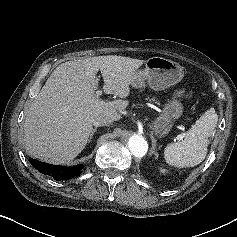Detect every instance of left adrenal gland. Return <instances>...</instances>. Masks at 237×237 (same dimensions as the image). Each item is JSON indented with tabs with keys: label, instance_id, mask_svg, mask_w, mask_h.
Returning <instances> with one entry per match:
<instances>
[{
	"label": "left adrenal gland",
	"instance_id": "1",
	"mask_svg": "<svg viewBox=\"0 0 237 237\" xmlns=\"http://www.w3.org/2000/svg\"><path fill=\"white\" fill-rule=\"evenodd\" d=\"M151 140H152V147L150 150V155L154 154L156 157H158V153L156 152V139L151 135Z\"/></svg>",
	"mask_w": 237,
	"mask_h": 237
}]
</instances>
